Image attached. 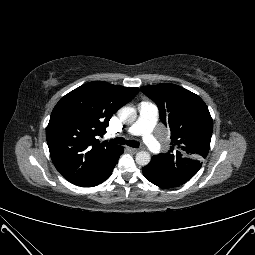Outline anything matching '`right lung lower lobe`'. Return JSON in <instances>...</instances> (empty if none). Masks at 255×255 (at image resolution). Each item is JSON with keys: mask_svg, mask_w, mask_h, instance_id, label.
<instances>
[{"mask_svg": "<svg viewBox=\"0 0 255 255\" xmlns=\"http://www.w3.org/2000/svg\"><path fill=\"white\" fill-rule=\"evenodd\" d=\"M123 151H124V148L122 146H120V148L118 149L117 156L106 168L101 170L95 176H93L85 181L76 183L75 185L82 186V187H94L98 184H101L105 180H107L109 178V176L111 175L115 165L118 162L119 156L123 153Z\"/></svg>", "mask_w": 255, "mask_h": 255, "instance_id": "obj_1", "label": "right lung lower lobe"}]
</instances>
